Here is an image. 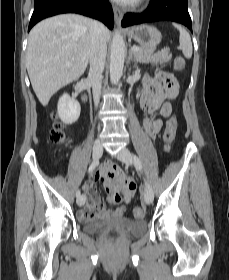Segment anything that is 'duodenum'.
<instances>
[{
  "label": "duodenum",
  "mask_w": 229,
  "mask_h": 280,
  "mask_svg": "<svg viewBox=\"0 0 229 280\" xmlns=\"http://www.w3.org/2000/svg\"><path fill=\"white\" fill-rule=\"evenodd\" d=\"M80 92H81V99H82L84 102H87V101H88V96H87V94L85 93V91L82 89Z\"/></svg>",
  "instance_id": "410a0bca"
}]
</instances>
